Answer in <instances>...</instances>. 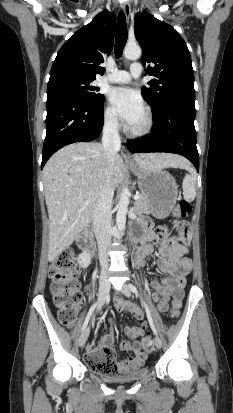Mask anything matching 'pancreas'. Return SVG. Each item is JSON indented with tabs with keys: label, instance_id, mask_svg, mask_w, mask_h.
I'll return each mask as SVG.
<instances>
[{
	"label": "pancreas",
	"instance_id": "pancreas-1",
	"mask_svg": "<svg viewBox=\"0 0 233 413\" xmlns=\"http://www.w3.org/2000/svg\"><path fill=\"white\" fill-rule=\"evenodd\" d=\"M134 210L137 215H142L144 213H150V203L143 194H139V199L134 203Z\"/></svg>",
	"mask_w": 233,
	"mask_h": 413
}]
</instances>
